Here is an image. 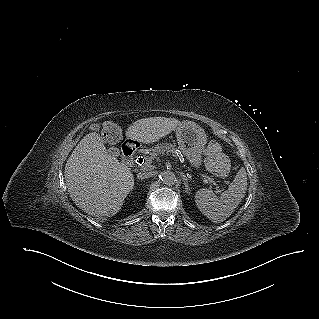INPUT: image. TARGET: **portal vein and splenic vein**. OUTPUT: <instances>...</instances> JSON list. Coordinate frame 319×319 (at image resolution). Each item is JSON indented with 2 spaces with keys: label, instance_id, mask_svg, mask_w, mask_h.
Masks as SVG:
<instances>
[{
  "label": "portal vein and splenic vein",
  "instance_id": "portal-vein-and-splenic-vein-1",
  "mask_svg": "<svg viewBox=\"0 0 319 319\" xmlns=\"http://www.w3.org/2000/svg\"><path fill=\"white\" fill-rule=\"evenodd\" d=\"M149 161V163H151L152 162V160H148ZM203 181L205 182V183H208V182H210V183H212V184H214L215 186H216V193H220L221 191L219 190V186L216 184V182L212 179V178H210V177H204V179H203Z\"/></svg>",
  "mask_w": 319,
  "mask_h": 319
}]
</instances>
